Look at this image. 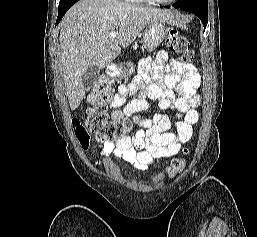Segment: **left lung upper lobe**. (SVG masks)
<instances>
[{"mask_svg": "<svg viewBox=\"0 0 257 237\" xmlns=\"http://www.w3.org/2000/svg\"><path fill=\"white\" fill-rule=\"evenodd\" d=\"M176 4L178 6H186L191 4L208 6V0H178Z\"/></svg>", "mask_w": 257, "mask_h": 237, "instance_id": "obj_1", "label": "left lung upper lobe"}]
</instances>
